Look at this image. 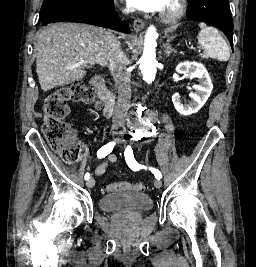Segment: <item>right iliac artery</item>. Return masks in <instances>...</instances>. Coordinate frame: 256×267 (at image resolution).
Returning a JSON list of instances; mask_svg holds the SVG:
<instances>
[{
  "instance_id": "obj_1",
  "label": "right iliac artery",
  "mask_w": 256,
  "mask_h": 267,
  "mask_svg": "<svg viewBox=\"0 0 256 267\" xmlns=\"http://www.w3.org/2000/svg\"><path fill=\"white\" fill-rule=\"evenodd\" d=\"M115 142H109L108 144L104 145L103 147H101L98 152H97V157L98 158H104L105 156H107L108 154H110L115 146ZM90 178V174L86 173L85 174V180H88Z\"/></svg>"
}]
</instances>
